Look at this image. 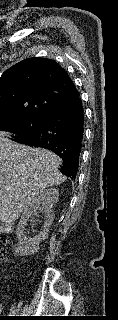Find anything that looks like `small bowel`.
<instances>
[{"label": "small bowel", "instance_id": "obj_1", "mask_svg": "<svg viewBox=\"0 0 118 320\" xmlns=\"http://www.w3.org/2000/svg\"><path fill=\"white\" fill-rule=\"evenodd\" d=\"M2 310H3V305H2V303L0 302V314L2 313Z\"/></svg>", "mask_w": 118, "mask_h": 320}]
</instances>
